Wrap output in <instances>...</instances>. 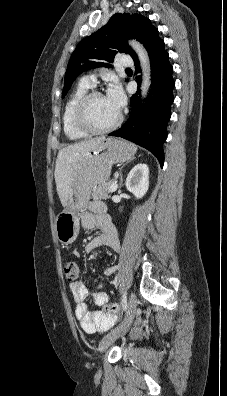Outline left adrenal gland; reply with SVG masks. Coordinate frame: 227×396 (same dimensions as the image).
Here are the masks:
<instances>
[{"instance_id": "a2214340", "label": "left adrenal gland", "mask_w": 227, "mask_h": 396, "mask_svg": "<svg viewBox=\"0 0 227 396\" xmlns=\"http://www.w3.org/2000/svg\"><path fill=\"white\" fill-rule=\"evenodd\" d=\"M132 160H134V158H132L131 161H132ZM131 161H129V162H131ZM126 164H127V163H126ZM126 164H125V165H126ZM125 165H123V166L120 168V170H119V176H120L119 187H121V186H122V183H123L122 169H123V167H124Z\"/></svg>"}]
</instances>
